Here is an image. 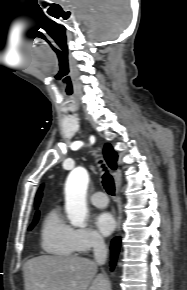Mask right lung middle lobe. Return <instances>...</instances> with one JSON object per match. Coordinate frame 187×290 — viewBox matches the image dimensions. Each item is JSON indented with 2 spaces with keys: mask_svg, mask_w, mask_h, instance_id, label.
Here are the masks:
<instances>
[{
  "mask_svg": "<svg viewBox=\"0 0 187 290\" xmlns=\"http://www.w3.org/2000/svg\"><path fill=\"white\" fill-rule=\"evenodd\" d=\"M38 217H39V216H37V217L34 219V221H33L32 225L30 226L29 230L32 229V227L37 223V221H38Z\"/></svg>",
  "mask_w": 187,
  "mask_h": 290,
  "instance_id": "obj_1",
  "label": "right lung middle lobe"
}]
</instances>
